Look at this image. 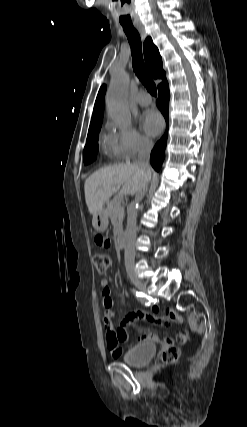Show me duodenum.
Masks as SVG:
<instances>
[{
	"label": "duodenum",
	"instance_id": "duodenum-1",
	"mask_svg": "<svg viewBox=\"0 0 247 427\" xmlns=\"http://www.w3.org/2000/svg\"><path fill=\"white\" fill-rule=\"evenodd\" d=\"M117 245L121 249H123L126 245L125 234L123 232H120L117 235Z\"/></svg>",
	"mask_w": 247,
	"mask_h": 427
}]
</instances>
